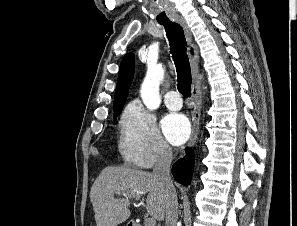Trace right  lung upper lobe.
<instances>
[{"mask_svg": "<svg viewBox=\"0 0 297 226\" xmlns=\"http://www.w3.org/2000/svg\"><path fill=\"white\" fill-rule=\"evenodd\" d=\"M133 75L134 55L128 53L124 56L119 69L117 87L114 96V109L124 105Z\"/></svg>", "mask_w": 297, "mask_h": 226, "instance_id": "obj_1", "label": "right lung upper lobe"}]
</instances>
